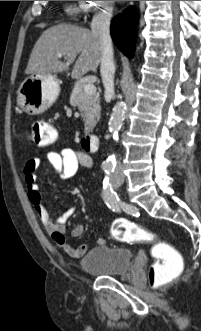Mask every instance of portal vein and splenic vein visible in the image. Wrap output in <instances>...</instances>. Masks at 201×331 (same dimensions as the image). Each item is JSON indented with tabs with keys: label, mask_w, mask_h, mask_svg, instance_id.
I'll use <instances>...</instances> for the list:
<instances>
[{
	"label": "portal vein and splenic vein",
	"mask_w": 201,
	"mask_h": 331,
	"mask_svg": "<svg viewBox=\"0 0 201 331\" xmlns=\"http://www.w3.org/2000/svg\"><path fill=\"white\" fill-rule=\"evenodd\" d=\"M57 56L59 58H61L62 57V54L61 53H58ZM84 92L86 94H89V95L95 94L96 93V87H95V85L93 83H90V82L87 83V84H85L84 85Z\"/></svg>",
	"instance_id": "18ae733b"
}]
</instances>
